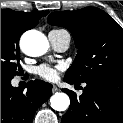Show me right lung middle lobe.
I'll return each instance as SVG.
<instances>
[{
    "mask_svg": "<svg viewBox=\"0 0 123 123\" xmlns=\"http://www.w3.org/2000/svg\"><path fill=\"white\" fill-rule=\"evenodd\" d=\"M22 33L16 20L1 17V81H10L22 71L18 44Z\"/></svg>",
    "mask_w": 123,
    "mask_h": 123,
    "instance_id": "1",
    "label": "right lung middle lobe"
}]
</instances>
